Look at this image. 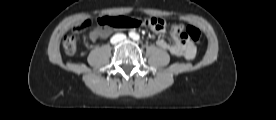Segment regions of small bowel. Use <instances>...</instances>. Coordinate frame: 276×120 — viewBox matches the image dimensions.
<instances>
[{"instance_id": "1", "label": "small bowel", "mask_w": 276, "mask_h": 120, "mask_svg": "<svg viewBox=\"0 0 276 120\" xmlns=\"http://www.w3.org/2000/svg\"><path fill=\"white\" fill-rule=\"evenodd\" d=\"M157 33H164L166 31V26L163 28L156 30L154 29ZM106 35V32L100 29H95L91 31L90 33V39L92 41H96L100 37H103ZM173 41L171 43L160 39L157 41V45L163 49L169 51L171 54L177 56V57H182L187 60H191L195 57L196 54V47L192 42L189 41H182L176 36H172Z\"/></svg>"}]
</instances>
